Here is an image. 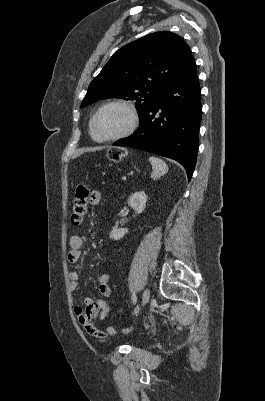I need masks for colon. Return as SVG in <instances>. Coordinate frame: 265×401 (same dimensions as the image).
<instances>
[{"label": "colon", "mask_w": 265, "mask_h": 401, "mask_svg": "<svg viewBox=\"0 0 265 401\" xmlns=\"http://www.w3.org/2000/svg\"><path fill=\"white\" fill-rule=\"evenodd\" d=\"M125 155L126 151L122 148H111L107 153L108 159L114 162L120 161ZM89 197L90 191L87 185L79 184L75 189L74 204L71 213V222L74 226H78L82 223ZM86 330L90 335L96 338H100L106 334L115 335L119 333V330L113 327H108L106 332L98 330L91 323L86 325Z\"/></svg>", "instance_id": "1"}]
</instances>
